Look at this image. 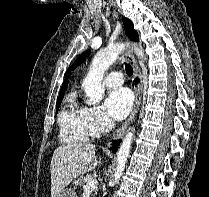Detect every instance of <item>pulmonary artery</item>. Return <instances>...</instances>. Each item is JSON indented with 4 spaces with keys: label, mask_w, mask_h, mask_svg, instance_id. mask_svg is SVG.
<instances>
[{
    "label": "pulmonary artery",
    "mask_w": 209,
    "mask_h": 197,
    "mask_svg": "<svg viewBox=\"0 0 209 197\" xmlns=\"http://www.w3.org/2000/svg\"><path fill=\"white\" fill-rule=\"evenodd\" d=\"M123 82H124V79H123L122 73L119 71L110 72L104 80V84L109 87L120 86L123 84Z\"/></svg>",
    "instance_id": "e3ab8cb5"
}]
</instances>
